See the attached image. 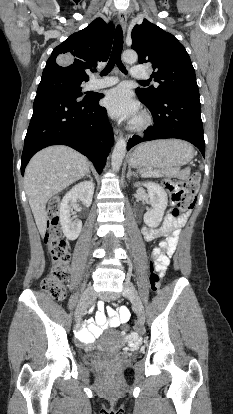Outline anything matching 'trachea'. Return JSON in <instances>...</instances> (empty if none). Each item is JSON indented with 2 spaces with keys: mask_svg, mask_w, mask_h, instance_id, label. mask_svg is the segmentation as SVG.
Instances as JSON below:
<instances>
[{
  "mask_svg": "<svg viewBox=\"0 0 233 414\" xmlns=\"http://www.w3.org/2000/svg\"><path fill=\"white\" fill-rule=\"evenodd\" d=\"M123 49V33L122 28L120 25L116 27L115 36H114V43H113V49L110 56V59L106 65V67L101 72V75H107L115 65L118 66V68L124 73L127 74L126 68L124 67L122 61H121V52ZM141 83L148 84L147 80L140 81Z\"/></svg>",
  "mask_w": 233,
  "mask_h": 414,
  "instance_id": "obj_1",
  "label": "trachea"
}]
</instances>
